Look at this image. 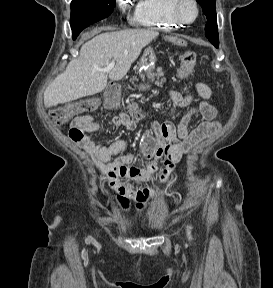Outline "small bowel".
<instances>
[{
  "label": "small bowel",
  "instance_id": "small-bowel-1",
  "mask_svg": "<svg viewBox=\"0 0 273 288\" xmlns=\"http://www.w3.org/2000/svg\"><path fill=\"white\" fill-rule=\"evenodd\" d=\"M196 91L200 96L197 101H194L191 94L170 91L173 103L184 110L176 126L172 122L153 123L151 129L143 135L140 152L150 160L147 168L132 165L134 157L131 154L121 155L112 160L127 148L128 143L125 140H116L105 145L93 140L89 134L99 131L101 124L95 122L92 116H80L73 121L71 129H82L83 136L75 139L69 132L70 138L91 156L99 171L105 175L107 185L115 191L117 201L123 209H128L130 201L136 203L137 209H143L145 203L156 194L157 189H135L122 179L147 181L157 171L158 160L163 159L160 173V181L163 184L175 164L185 154L220 130L221 123L217 120L219 112L214 105L211 89L199 82L196 84ZM196 115L202 116L205 121L190 130V123ZM139 118L138 110L132 111L131 115L119 113L113 117L112 123L116 128L134 130Z\"/></svg>",
  "mask_w": 273,
  "mask_h": 288
}]
</instances>
